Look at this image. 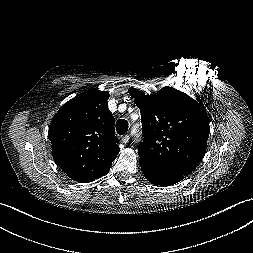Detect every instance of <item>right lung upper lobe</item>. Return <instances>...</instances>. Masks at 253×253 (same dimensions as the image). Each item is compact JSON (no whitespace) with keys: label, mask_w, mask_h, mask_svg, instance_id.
Listing matches in <instances>:
<instances>
[{"label":"right lung upper lobe","mask_w":253,"mask_h":253,"mask_svg":"<svg viewBox=\"0 0 253 253\" xmlns=\"http://www.w3.org/2000/svg\"><path fill=\"white\" fill-rule=\"evenodd\" d=\"M109 93L90 89L68 101L49 126L56 164L73 180L92 182L111 167L120 148Z\"/></svg>","instance_id":"cb5924a9"}]
</instances>
